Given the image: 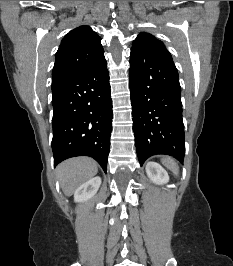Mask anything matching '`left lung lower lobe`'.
I'll return each mask as SVG.
<instances>
[{
  "instance_id": "obj_1",
  "label": "left lung lower lobe",
  "mask_w": 233,
  "mask_h": 266,
  "mask_svg": "<svg viewBox=\"0 0 233 266\" xmlns=\"http://www.w3.org/2000/svg\"><path fill=\"white\" fill-rule=\"evenodd\" d=\"M129 84L140 165L155 154H167L183 163L181 88L171 54L161 48L132 47Z\"/></svg>"
}]
</instances>
